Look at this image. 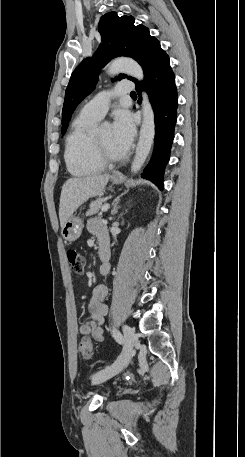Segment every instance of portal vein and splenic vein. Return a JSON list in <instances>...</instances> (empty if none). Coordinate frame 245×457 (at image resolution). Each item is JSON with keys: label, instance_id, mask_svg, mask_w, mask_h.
Instances as JSON below:
<instances>
[{"label": "portal vein and splenic vein", "instance_id": "1", "mask_svg": "<svg viewBox=\"0 0 245 457\" xmlns=\"http://www.w3.org/2000/svg\"><path fill=\"white\" fill-rule=\"evenodd\" d=\"M108 208H110V204H103L101 210L102 212H105V210H108Z\"/></svg>", "mask_w": 245, "mask_h": 457}]
</instances>
